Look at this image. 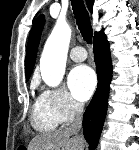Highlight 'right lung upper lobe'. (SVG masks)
Wrapping results in <instances>:
<instances>
[{"mask_svg":"<svg viewBox=\"0 0 139 150\" xmlns=\"http://www.w3.org/2000/svg\"><path fill=\"white\" fill-rule=\"evenodd\" d=\"M87 6L89 10L92 12L93 9V2L94 0H86ZM44 24V16H39L32 27L30 32L27 52H26V80H29L37 55V48L40 41V34Z\"/></svg>","mask_w":139,"mask_h":150,"instance_id":"cb5924a9","label":"right lung upper lobe"}]
</instances>
